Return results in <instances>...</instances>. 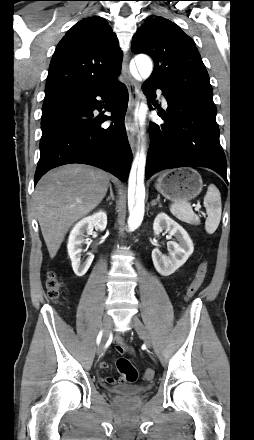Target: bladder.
<instances>
[{
	"mask_svg": "<svg viewBox=\"0 0 254 440\" xmlns=\"http://www.w3.org/2000/svg\"><path fill=\"white\" fill-rule=\"evenodd\" d=\"M109 390L112 394L118 396H135L146 392L148 387L144 385H119L113 386Z\"/></svg>",
	"mask_w": 254,
	"mask_h": 440,
	"instance_id": "bladder-1",
	"label": "bladder"
}]
</instances>
